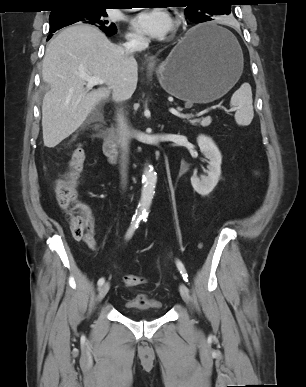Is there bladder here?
Segmentation results:
<instances>
[{
	"mask_svg": "<svg viewBox=\"0 0 306 387\" xmlns=\"http://www.w3.org/2000/svg\"><path fill=\"white\" fill-rule=\"evenodd\" d=\"M124 309L130 317H135L140 313H150L155 317H160L164 313L163 304L145 293H138L128 300L124 304Z\"/></svg>",
	"mask_w": 306,
	"mask_h": 387,
	"instance_id": "1",
	"label": "bladder"
}]
</instances>
